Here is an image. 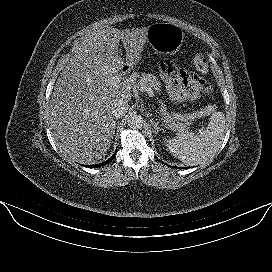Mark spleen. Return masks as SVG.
<instances>
[{
  "label": "spleen",
  "instance_id": "spleen-1",
  "mask_svg": "<svg viewBox=\"0 0 272 272\" xmlns=\"http://www.w3.org/2000/svg\"><path fill=\"white\" fill-rule=\"evenodd\" d=\"M226 128L223 112H213L204 131L198 134L191 132L178 133L166 140L169 152L186 165L201 164L214 157L222 144Z\"/></svg>",
  "mask_w": 272,
  "mask_h": 272
}]
</instances>
